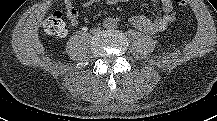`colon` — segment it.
I'll use <instances>...</instances> for the list:
<instances>
[{"label":"colon","mask_w":217,"mask_h":121,"mask_svg":"<svg viewBox=\"0 0 217 121\" xmlns=\"http://www.w3.org/2000/svg\"><path fill=\"white\" fill-rule=\"evenodd\" d=\"M179 6H185L187 0H172ZM44 28L47 33L54 36H64L67 33V26L63 20L62 13L57 11L50 14L44 21Z\"/></svg>","instance_id":"5ec220e1"}]
</instances>
